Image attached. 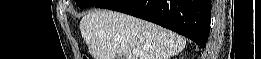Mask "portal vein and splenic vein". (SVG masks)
Returning <instances> with one entry per match:
<instances>
[{
    "instance_id": "1",
    "label": "portal vein and splenic vein",
    "mask_w": 261,
    "mask_h": 59,
    "mask_svg": "<svg viewBox=\"0 0 261 59\" xmlns=\"http://www.w3.org/2000/svg\"><path fill=\"white\" fill-rule=\"evenodd\" d=\"M133 53H134V54H137V53H138V51H137V50H133Z\"/></svg>"
}]
</instances>
